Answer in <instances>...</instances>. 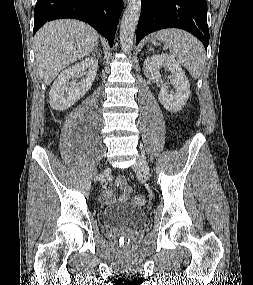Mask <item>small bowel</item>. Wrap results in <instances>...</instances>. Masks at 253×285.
<instances>
[{
	"label": "small bowel",
	"instance_id": "small-bowel-1",
	"mask_svg": "<svg viewBox=\"0 0 253 285\" xmlns=\"http://www.w3.org/2000/svg\"><path fill=\"white\" fill-rule=\"evenodd\" d=\"M115 186L120 191L119 196H115L112 190H107L103 196L104 202L109 205L126 203L132 194V189L126 179L123 176L118 177L115 180Z\"/></svg>",
	"mask_w": 253,
	"mask_h": 285
}]
</instances>
